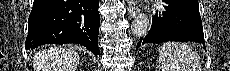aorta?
Listing matches in <instances>:
<instances>
[{"label":"aorta","mask_w":230,"mask_h":71,"mask_svg":"<svg viewBox=\"0 0 230 71\" xmlns=\"http://www.w3.org/2000/svg\"><path fill=\"white\" fill-rule=\"evenodd\" d=\"M150 30V20L146 14H139L131 25V33L134 37H145Z\"/></svg>","instance_id":"1"}]
</instances>
